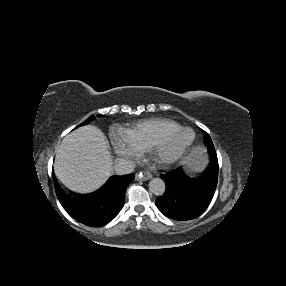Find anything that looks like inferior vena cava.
<instances>
[{
	"mask_svg": "<svg viewBox=\"0 0 286 286\" xmlns=\"http://www.w3.org/2000/svg\"><path fill=\"white\" fill-rule=\"evenodd\" d=\"M113 169L118 175L129 174L134 171L135 163L129 159L117 158L114 162Z\"/></svg>",
	"mask_w": 286,
	"mask_h": 286,
	"instance_id": "obj_1",
	"label": "inferior vena cava"
}]
</instances>
